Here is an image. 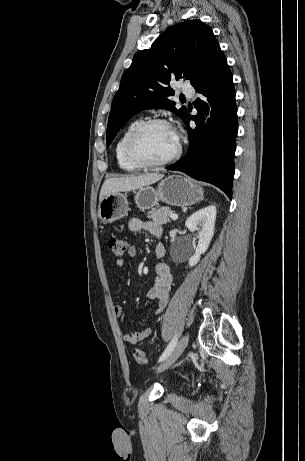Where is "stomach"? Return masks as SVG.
Here are the masks:
<instances>
[{"instance_id": "obj_1", "label": "stomach", "mask_w": 305, "mask_h": 461, "mask_svg": "<svg viewBox=\"0 0 305 461\" xmlns=\"http://www.w3.org/2000/svg\"><path fill=\"white\" fill-rule=\"evenodd\" d=\"M203 198L202 188L190 178L170 175L157 188L141 187L134 191L137 207L146 210L158 205L159 201L172 206H191ZM129 210L127 195L121 192L109 194L98 206V217L105 223H112L125 217Z\"/></svg>"}]
</instances>
